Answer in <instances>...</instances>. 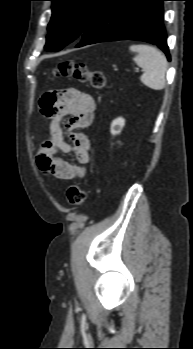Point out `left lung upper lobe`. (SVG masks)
<instances>
[{
	"label": "left lung upper lobe",
	"mask_w": 193,
	"mask_h": 349,
	"mask_svg": "<svg viewBox=\"0 0 193 349\" xmlns=\"http://www.w3.org/2000/svg\"><path fill=\"white\" fill-rule=\"evenodd\" d=\"M52 17L48 25L46 50H60L83 34L108 0H50Z\"/></svg>",
	"instance_id": "1"
}]
</instances>
